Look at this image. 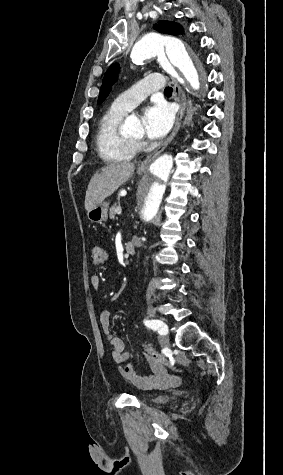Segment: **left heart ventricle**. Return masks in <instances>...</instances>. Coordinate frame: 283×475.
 <instances>
[{"label":"left heart ventricle","mask_w":283,"mask_h":475,"mask_svg":"<svg viewBox=\"0 0 283 475\" xmlns=\"http://www.w3.org/2000/svg\"><path fill=\"white\" fill-rule=\"evenodd\" d=\"M143 133H144V130L141 126L135 133H133L131 135H128L127 137L133 138V139H138V138L142 137Z\"/></svg>","instance_id":"b2bd125f"}]
</instances>
